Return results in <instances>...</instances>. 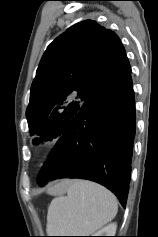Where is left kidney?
<instances>
[{
    "label": "left kidney",
    "instance_id": "1",
    "mask_svg": "<svg viewBox=\"0 0 158 237\" xmlns=\"http://www.w3.org/2000/svg\"><path fill=\"white\" fill-rule=\"evenodd\" d=\"M117 229V224L112 223L106 226L105 228L101 229L100 231L96 232L94 236H115Z\"/></svg>",
    "mask_w": 158,
    "mask_h": 237
}]
</instances>
